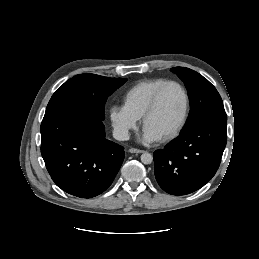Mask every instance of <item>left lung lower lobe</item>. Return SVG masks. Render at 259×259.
I'll return each instance as SVG.
<instances>
[{
    "label": "left lung lower lobe",
    "instance_id": "0a47b994",
    "mask_svg": "<svg viewBox=\"0 0 259 259\" xmlns=\"http://www.w3.org/2000/svg\"><path fill=\"white\" fill-rule=\"evenodd\" d=\"M227 120L201 121L153 154L155 177L172 195H186L215 175L227 142Z\"/></svg>",
    "mask_w": 259,
    "mask_h": 259
}]
</instances>
